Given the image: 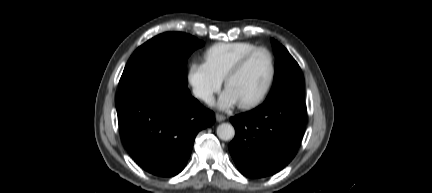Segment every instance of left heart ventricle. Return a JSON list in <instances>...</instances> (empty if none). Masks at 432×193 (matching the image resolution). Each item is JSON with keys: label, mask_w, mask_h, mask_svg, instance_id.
Here are the masks:
<instances>
[{"label": "left heart ventricle", "mask_w": 432, "mask_h": 193, "mask_svg": "<svg viewBox=\"0 0 432 193\" xmlns=\"http://www.w3.org/2000/svg\"><path fill=\"white\" fill-rule=\"evenodd\" d=\"M269 75V56L265 52H258L231 80L228 90L233 93L238 103L250 101L264 90Z\"/></svg>", "instance_id": "b2bd125f"}]
</instances>
